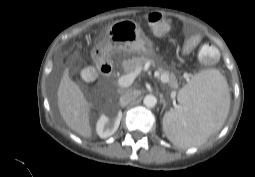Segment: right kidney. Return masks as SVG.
Returning a JSON list of instances; mask_svg holds the SVG:
<instances>
[{
  "label": "right kidney",
  "instance_id": "ca27d5eb",
  "mask_svg": "<svg viewBox=\"0 0 255 177\" xmlns=\"http://www.w3.org/2000/svg\"><path fill=\"white\" fill-rule=\"evenodd\" d=\"M121 118L122 112L120 110L110 115H101L96 125V132L99 137L107 138L113 135L120 125Z\"/></svg>",
  "mask_w": 255,
  "mask_h": 177
}]
</instances>
